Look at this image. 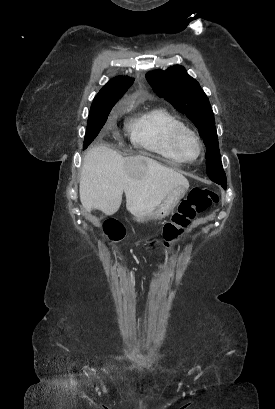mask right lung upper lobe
I'll return each mask as SVG.
<instances>
[{
  "mask_svg": "<svg viewBox=\"0 0 275 409\" xmlns=\"http://www.w3.org/2000/svg\"><path fill=\"white\" fill-rule=\"evenodd\" d=\"M133 79L117 76L111 79L96 95L91 105V111L112 108L131 86Z\"/></svg>",
  "mask_w": 275,
  "mask_h": 409,
  "instance_id": "cb5924a9",
  "label": "right lung upper lobe"
}]
</instances>
